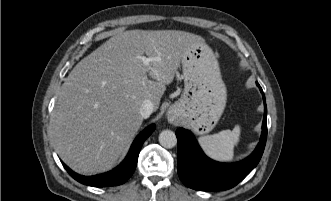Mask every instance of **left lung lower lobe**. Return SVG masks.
<instances>
[{
	"mask_svg": "<svg viewBox=\"0 0 331 201\" xmlns=\"http://www.w3.org/2000/svg\"><path fill=\"white\" fill-rule=\"evenodd\" d=\"M264 99L262 135L254 152L238 163L225 164L209 159L200 149L193 134L183 128L176 131L178 141L177 172L183 184L199 191L227 190L242 181L260 161L267 138V108Z\"/></svg>",
	"mask_w": 331,
	"mask_h": 201,
	"instance_id": "1",
	"label": "left lung lower lobe"
}]
</instances>
